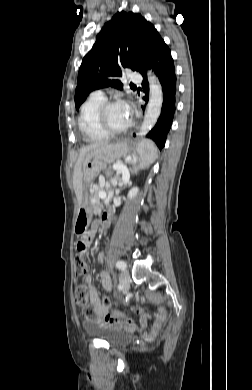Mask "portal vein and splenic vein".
I'll return each instance as SVG.
<instances>
[{"instance_id":"obj_1","label":"portal vein and splenic vein","mask_w":252,"mask_h":390,"mask_svg":"<svg viewBox=\"0 0 252 390\" xmlns=\"http://www.w3.org/2000/svg\"><path fill=\"white\" fill-rule=\"evenodd\" d=\"M130 159L131 158H127L126 160H130ZM113 169L116 170L117 173H122L124 178L129 175V172H128L126 166H124L123 164L116 163L113 165ZM106 186L109 187L110 184H106ZM100 197L106 198V193L105 192L100 193Z\"/></svg>"}]
</instances>
